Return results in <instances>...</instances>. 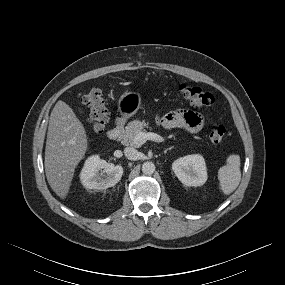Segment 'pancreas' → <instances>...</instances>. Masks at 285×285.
I'll list each match as a JSON object with an SVG mask.
<instances>
[{
	"label": "pancreas",
	"instance_id": "cf45deb5",
	"mask_svg": "<svg viewBox=\"0 0 285 285\" xmlns=\"http://www.w3.org/2000/svg\"><path fill=\"white\" fill-rule=\"evenodd\" d=\"M145 127L148 126L144 120H134L129 122L120 136L121 143L126 146L136 147L137 145L134 143V137L139 132H145Z\"/></svg>",
	"mask_w": 285,
	"mask_h": 285
}]
</instances>
